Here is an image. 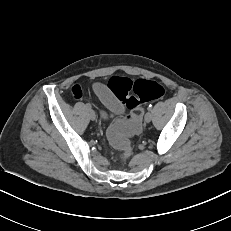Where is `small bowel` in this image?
<instances>
[{"mask_svg": "<svg viewBox=\"0 0 231 231\" xmlns=\"http://www.w3.org/2000/svg\"><path fill=\"white\" fill-rule=\"evenodd\" d=\"M95 93L99 97L104 107L111 113L123 114V104L111 93V91L103 84L96 83L93 86ZM73 95L75 98L80 99L82 97V91L78 85L72 88Z\"/></svg>", "mask_w": 231, "mask_h": 231, "instance_id": "1", "label": "small bowel"}]
</instances>
